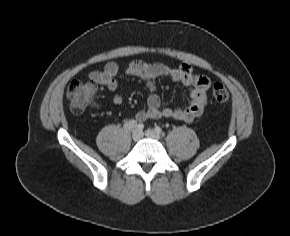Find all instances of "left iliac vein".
<instances>
[{"label": "left iliac vein", "mask_w": 290, "mask_h": 236, "mask_svg": "<svg viewBox=\"0 0 290 236\" xmlns=\"http://www.w3.org/2000/svg\"><path fill=\"white\" fill-rule=\"evenodd\" d=\"M145 135L148 138H151V139H155V140H159L160 139V134L158 132H156L155 130H153V129H147L145 131Z\"/></svg>", "instance_id": "left-iliac-vein-1"}]
</instances>
